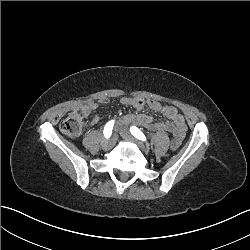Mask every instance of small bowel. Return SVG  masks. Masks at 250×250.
I'll use <instances>...</instances> for the list:
<instances>
[{"instance_id": "1", "label": "small bowel", "mask_w": 250, "mask_h": 250, "mask_svg": "<svg viewBox=\"0 0 250 250\" xmlns=\"http://www.w3.org/2000/svg\"><path fill=\"white\" fill-rule=\"evenodd\" d=\"M121 102L124 105H133V107L138 110H141L147 106L151 111L159 113L167 118L166 121H154V119L148 115L127 114L123 117V123H136L137 125L150 131L171 132L173 133V137L177 136L180 139V143L183 140L187 131V127L184 117L175 107L162 104L153 99H149L145 102L142 98L123 97ZM96 108L97 105L94 102L88 101L82 105L79 110L82 115L86 116L90 112H94ZM94 120L96 121L97 118Z\"/></svg>"}]
</instances>
